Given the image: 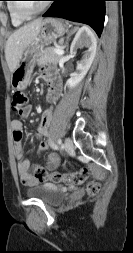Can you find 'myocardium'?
I'll return each mask as SVG.
<instances>
[{"label":"myocardium","mask_w":133,"mask_h":253,"mask_svg":"<svg viewBox=\"0 0 133 253\" xmlns=\"http://www.w3.org/2000/svg\"><path fill=\"white\" fill-rule=\"evenodd\" d=\"M15 2H12V7L13 10L15 12V14L23 20H28L31 19L37 15H39L40 13H42L48 6V2H44L43 5L38 8L37 10L33 11V12H27L25 11L21 6L20 3L17 2L18 0H14Z\"/></svg>","instance_id":"1"}]
</instances>
